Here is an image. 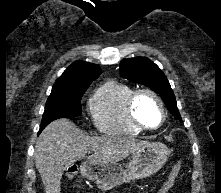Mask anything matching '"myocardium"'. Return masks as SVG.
<instances>
[{"mask_svg": "<svg viewBox=\"0 0 221 193\" xmlns=\"http://www.w3.org/2000/svg\"><path fill=\"white\" fill-rule=\"evenodd\" d=\"M143 96H149L151 98H153L159 108H160V113H161V119L160 122L157 126L155 127H150L148 125H146L144 122H142L137 114H136V105L138 100L143 97ZM128 113L130 115L131 120L133 121V123L138 126L140 129L142 130H146V131H154L157 130L159 128H161L165 122L166 119V107L165 104L162 100V98L153 90L151 89H139L133 92V94L130 96L129 100H128Z\"/></svg>", "mask_w": 221, "mask_h": 193, "instance_id": "myocardium-1", "label": "myocardium"}]
</instances>
